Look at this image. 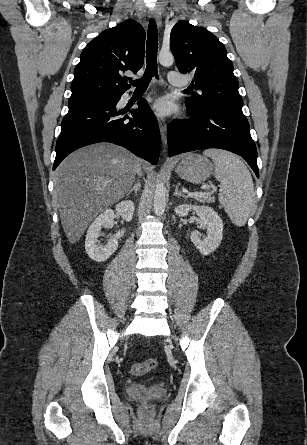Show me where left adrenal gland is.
<instances>
[{
	"label": "left adrenal gland",
	"mask_w": 307,
	"mask_h": 445,
	"mask_svg": "<svg viewBox=\"0 0 307 445\" xmlns=\"http://www.w3.org/2000/svg\"><path fill=\"white\" fill-rule=\"evenodd\" d=\"M174 194H175V196H183L184 200H186V198H187L186 194H183V192H180L179 186H177V184L175 186Z\"/></svg>",
	"instance_id": "1"
}]
</instances>
